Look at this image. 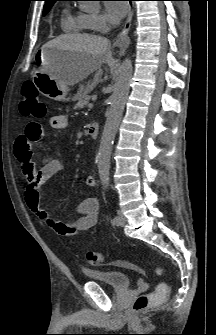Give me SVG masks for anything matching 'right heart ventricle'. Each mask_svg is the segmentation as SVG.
<instances>
[{
    "label": "right heart ventricle",
    "instance_id": "1",
    "mask_svg": "<svg viewBox=\"0 0 216 335\" xmlns=\"http://www.w3.org/2000/svg\"><path fill=\"white\" fill-rule=\"evenodd\" d=\"M61 27L66 33H81L92 30L88 15L80 11H73L70 7L63 10Z\"/></svg>",
    "mask_w": 216,
    "mask_h": 335
}]
</instances>
